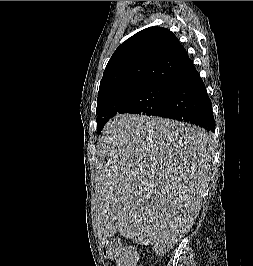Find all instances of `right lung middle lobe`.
<instances>
[{"label":"right lung middle lobe","instance_id":"right-lung-middle-lobe-1","mask_svg":"<svg viewBox=\"0 0 253 266\" xmlns=\"http://www.w3.org/2000/svg\"><path fill=\"white\" fill-rule=\"evenodd\" d=\"M171 83L157 82L125 92L97 104V132L100 133L110 118L117 114L133 113L159 116L165 108Z\"/></svg>","mask_w":253,"mask_h":266}]
</instances>
